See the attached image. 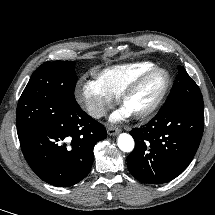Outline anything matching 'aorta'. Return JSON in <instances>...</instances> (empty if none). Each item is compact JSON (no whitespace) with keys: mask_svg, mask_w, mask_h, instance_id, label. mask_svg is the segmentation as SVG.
Returning <instances> with one entry per match:
<instances>
[{"mask_svg":"<svg viewBox=\"0 0 215 215\" xmlns=\"http://www.w3.org/2000/svg\"><path fill=\"white\" fill-rule=\"evenodd\" d=\"M117 144L123 152H131L134 149V140L132 136L127 133L119 135Z\"/></svg>","mask_w":215,"mask_h":215,"instance_id":"obj_1","label":"aorta"}]
</instances>
